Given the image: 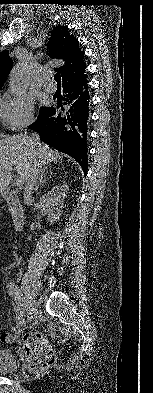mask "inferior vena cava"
Listing matches in <instances>:
<instances>
[{
    "label": "inferior vena cava",
    "instance_id": "602c4592",
    "mask_svg": "<svg viewBox=\"0 0 153 393\" xmlns=\"http://www.w3.org/2000/svg\"><path fill=\"white\" fill-rule=\"evenodd\" d=\"M38 140V135L36 133H33L31 136V143L33 145L32 152L33 154L36 155V157L33 159V164L35 165L33 171L31 172V175L27 178V181L25 183V196L26 197H31L32 190L36 186L38 178H40V172H42L41 169V164L45 161V156L46 153L43 149V146L41 143L36 142Z\"/></svg>",
    "mask_w": 153,
    "mask_h": 393
}]
</instances>
